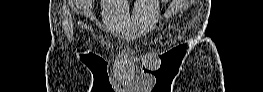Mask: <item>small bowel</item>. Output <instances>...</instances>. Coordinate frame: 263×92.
I'll return each instance as SVG.
<instances>
[{
  "label": "small bowel",
  "instance_id": "1",
  "mask_svg": "<svg viewBox=\"0 0 263 92\" xmlns=\"http://www.w3.org/2000/svg\"><path fill=\"white\" fill-rule=\"evenodd\" d=\"M115 4L120 5L122 10H126L127 9V4L124 1H118V2H115Z\"/></svg>",
  "mask_w": 263,
  "mask_h": 92
}]
</instances>
